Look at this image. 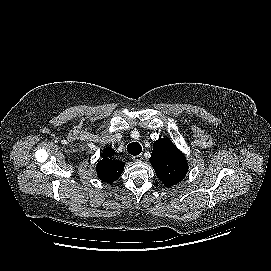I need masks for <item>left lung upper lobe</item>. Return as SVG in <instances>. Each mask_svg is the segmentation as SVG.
Here are the masks:
<instances>
[{
    "mask_svg": "<svg viewBox=\"0 0 271 271\" xmlns=\"http://www.w3.org/2000/svg\"><path fill=\"white\" fill-rule=\"evenodd\" d=\"M149 160L159 180L166 187L179 183L188 171L184 155L168 138H159L154 143Z\"/></svg>",
    "mask_w": 271,
    "mask_h": 271,
    "instance_id": "5c2ea615",
    "label": "left lung upper lobe"
}]
</instances>
